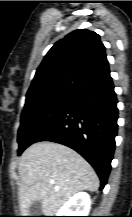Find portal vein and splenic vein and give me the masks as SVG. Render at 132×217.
Wrapping results in <instances>:
<instances>
[{
	"label": "portal vein and splenic vein",
	"mask_w": 132,
	"mask_h": 217,
	"mask_svg": "<svg viewBox=\"0 0 132 217\" xmlns=\"http://www.w3.org/2000/svg\"><path fill=\"white\" fill-rule=\"evenodd\" d=\"M50 183H52V184H53V183H54V181L52 180V181H50Z\"/></svg>",
	"instance_id": "1"
}]
</instances>
